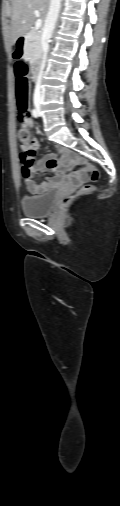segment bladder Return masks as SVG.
Here are the masks:
<instances>
[{
  "label": "bladder",
  "instance_id": "obj_1",
  "mask_svg": "<svg viewBox=\"0 0 120 506\" xmlns=\"http://www.w3.org/2000/svg\"><path fill=\"white\" fill-rule=\"evenodd\" d=\"M56 200V191L49 190L39 195H24L20 203L23 213L29 217L46 216Z\"/></svg>",
  "mask_w": 120,
  "mask_h": 506
}]
</instances>
